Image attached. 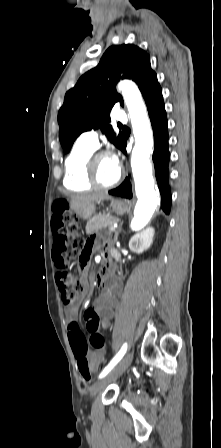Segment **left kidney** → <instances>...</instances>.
Returning <instances> with one entry per match:
<instances>
[{"instance_id": "5707ae66", "label": "left kidney", "mask_w": 221, "mask_h": 448, "mask_svg": "<svg viewBox=\"0 0 221 448\" xmlns=\"http://www.w3.org/2000/svg\"><path fill=\"white\" fill-rule=\"evenodd\" d=\"M153 237L154 229L148 228L131 238L129 241V248L135 253H142L151 246Z\"/></svg>"}]
</instances>
